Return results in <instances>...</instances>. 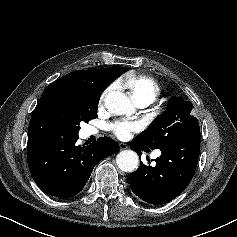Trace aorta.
Segmentation results:
<instances>
[{"label": "aorta", "mask_w": 237, "mask_h": 237, "mask_svg": "<svg viewBox=\"0 0 237 237\" xmlns=\"http://www.w3.org/2000/svg\"><path fill=\"white\" fill-rule=\"evenodd\" d=\"M105 107L116 115H131L135 109L131 100L122 92H110L105 98ZM117 166L124 172L138 168V155L132 150H123L116 157Z\"/></svg>", "instance_id": "obj_1"}]
</instances>
